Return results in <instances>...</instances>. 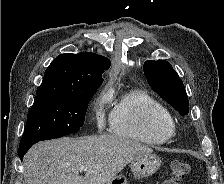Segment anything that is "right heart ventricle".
I'll list each match as a JSON object with an SVG mask.
<instances>
[{"instance_id":"obj_1","label":"right heart ventricle","mask_w":224,"mask_h":184,"mask_svg":"<svg viewBox=\"0 0 224 184\" xmlns=\"http://www.w3.org/2000/svg\"><path fill=\"white\" fill-rule=\"evenodd\" d=\"M172 124L173 117L167 107L141 89L122 94L110 113L114 134L151 146L169 141Z\"/></svg>"}]
</instances>
